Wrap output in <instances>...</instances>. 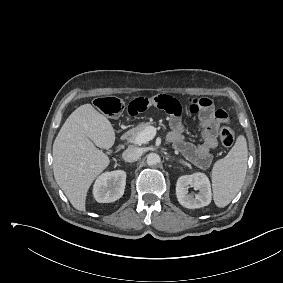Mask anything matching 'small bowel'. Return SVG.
<instances>
[{"label":"small bowel","mask_w":283,"mask_h":283,"mask_svg":"<svg viewBox=\"0 0 283 283\" xmlns=\"http://www.w3.org/2000/svg\"><path fill=\"white\" fill-rule=\"evenodd\" d=\"M151 107L164 110L170 115L169 142L194 165L202 169L208 168L212 163L210 151L218 146V128L222 123L228 122L227 113L224 110H214L211 100L206 97L190 99L184 110L178 100L166 94L134 99L128 104L127 112L134 117ZM184 111L198 115L202 134V142L198 145L184 137L185 125L182 120Z\"/></svg>","instance_id":"obj_1"}]
</instances>
